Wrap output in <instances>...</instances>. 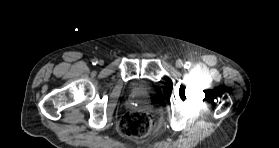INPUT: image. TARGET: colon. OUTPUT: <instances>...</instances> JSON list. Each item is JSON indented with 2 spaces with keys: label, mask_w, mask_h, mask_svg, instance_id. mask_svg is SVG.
Listing matches in <instances>:
<instances>
[{
  "label": "colon",
  "mask_w": 279,
  "mask_h": 148,
  "mask_svg": "<svg viewBox=\"0 0 279 148\" xmlns=\"http://www.w3.org/2000/svg\"><path fill=\"white\" fill-rule=\"evenodd\" d=\"M118 126L123 135L134 139H141L155 132L157 122L147 112L130 110L123 114Z\"/></svg>",
  "instance_id": "1"
}]
</instances>
